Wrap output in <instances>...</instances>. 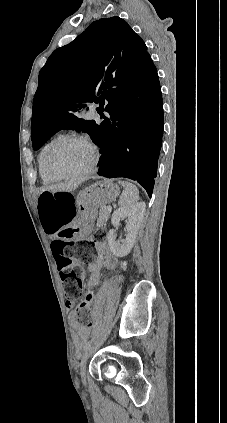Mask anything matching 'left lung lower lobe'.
<instances>
[{"instance_id":"left-lung-lower-lobe-1","label":"left lung lower lobe","mask_w":227,"mask_h":423,"mask_svg":"<svg viewBox=\"0 0 227 423\" xmlns=\"http://www.w3.org/2000/svg\"><path fill=\"white\" fill-rule=\"evenodd\" d=\"M94 140L101 148L98 174L126 177L152 196L162 146L163 103L157 70L138 93L134 107L110 111Z\"/></svg>"}]
</instances>
